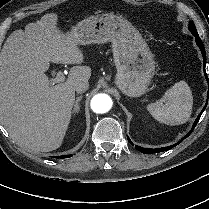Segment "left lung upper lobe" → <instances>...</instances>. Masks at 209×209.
Instances as JSON below:
<instances>
[{
	"mask_svg": "<svg viewBox=\"0 0 209 209\" xmlns=\"http://www.w3.org/2000/svg\"><path fill=\"white\" fill-rule=\"evenodd\" d=\"M189 30L191 31V33H197L196 27L193 22H189Z\"/></svg>",
	"mask_w": 209,
	"mask_h": 209,
	"instance_id": "1",
	"label": "left lung upper lobe"
}]
</instances>
